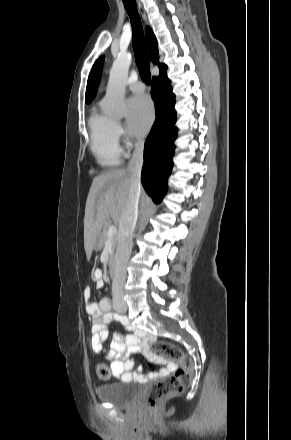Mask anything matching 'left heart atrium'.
Listing matches in <instances>:
<instances>
[{
	"mask_svg": "<svg viewBox=\"0 0 291 440\" xmlns=\"http://www.w3.org/2000/svg\"><path fill=\"white\" fill-rule=\"evenodd\" d=\"M153 120L154 108L149 97L136 95L129 99L127 124L133 135H144L149 130Z\"/></svg>",
	"mask_w": 291,
	"mask_h": 440,
	"instance_id": "left-heart-atrium-1",
	"label": "left heart atrium"
}]
</instances>
